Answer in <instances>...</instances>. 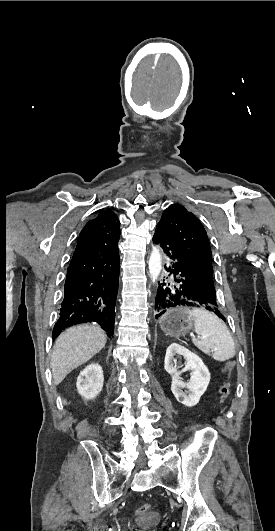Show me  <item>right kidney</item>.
<instances>
[{"label":"right kidney","mask_w":275,"mask_h":531,"mask_svg":"<svg viewBox=\"0 0 275 531\" xmlns=\"http://www.w3.org/2000/svg\"><path fill=\"white\" fill-rule=\"evenodd\" d=\"M104 385V377L102 367L97 363L87 365L77 377V391L84 399H95L100 395Z\"/></svg>","instance_id":"obj_1"}]
</instances>
